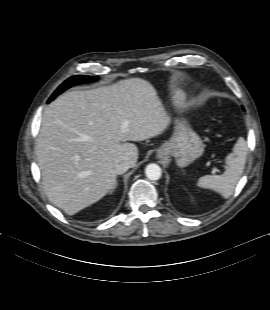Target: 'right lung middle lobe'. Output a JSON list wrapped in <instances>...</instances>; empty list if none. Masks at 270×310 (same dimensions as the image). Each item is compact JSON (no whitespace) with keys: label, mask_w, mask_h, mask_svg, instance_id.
<instances>
[{"label":"right lung middle lobe","mask_w":270,"mask_h":310,"mask_svg":"<svg viewBox=\"0 0 270 310\" xmlns=\"http://www.w3.org/2000/svg\"><path fill=\"white\" fill-rule=\"evenodd\" d=\"M97 78L96 77H92V76H75V77H71L69 79H67L63 84H61L57 90L53 93V95L50 97L49 101H52L57 95H59L61 92H63L64 90H66L67 88L76 85V84H80V83H85V82H91V81H95Z\"/></svg>","instance_id":"obj_1"}]
</instances>
